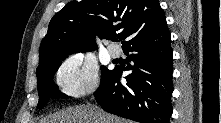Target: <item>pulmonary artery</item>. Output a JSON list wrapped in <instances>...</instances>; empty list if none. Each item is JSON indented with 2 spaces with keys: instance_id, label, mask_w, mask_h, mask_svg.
<instances>
[{
  "instance_id": "pulmonary-artery-1",
  "label": "pulmonary artery",
  "mask_w": 221,
  "mask_h": 123,
  "mask_svg": "<svg viewBox=\"0 0 221 123\" xmlns=\"http://www.w3.org/2000/svg\"><path fill=\"white\" fill-rule=\"evenodd\" d=\"M108 53L112 58H118L121 54V50L117 46L110 45L108 46Z\"/></svg>"
}]
</instances>
